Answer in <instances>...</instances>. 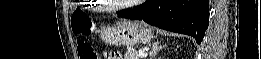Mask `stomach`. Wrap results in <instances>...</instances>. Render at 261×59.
<instances>
[{"mask_svg": "<svg viewBox=\"0 0 261 59\" xmlns=\"http://www.w3.org/2000/svg\"><path fill=\"white\" fill-rule=\"evenodd\" d=\"M100 37L107 45L133 47L136 44H145L153 38L150 26L138 20H120L112 26L104 27Z\"/></svg>", "mask_w": 261, "mask_h": 59, "instance_id": "stomach-1", "label": "stomach"}]
</instances>
